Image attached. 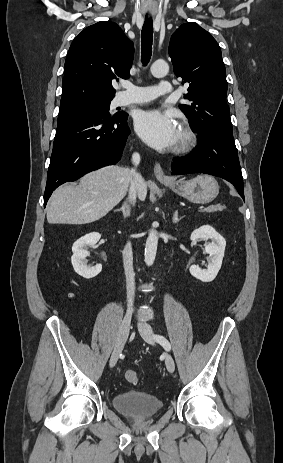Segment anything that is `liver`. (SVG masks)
<instances>
[{
    "mask_svg": "<svg viewBox=\"0 0 283 463\" xmlns=\"http://www.w3.org/2000/svg\"><path fill=\"white\" fill-rule=\"evenodd\" d=\"M131 182L130 170L107 166L83 176L79 184H65L54 191L47 205L49 224H88L104 217L126 195ZM147 183L138 187L145 200Z\"/></svg>",
    "mask_w": 283,
    "mask_h": 463,
    "instance_id": "6515ba94",
    "label": "liver"
}]
</instances>
